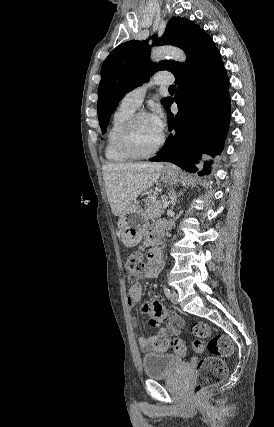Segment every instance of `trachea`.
Here are the masks:
<instances>
[{"instance_id":"obj_1","label":"trachea","mask_w":274,"mask_h":427,"mask_svg":"<svg viewBox=\"0 0 274 427\" xmlns=\"http://www.w3.org/2000/svg\"><path fill=\"white\" fill-rule=\"evenodd\" d=\"M169 90H176V85H171V86L169 87Z\"/></svg>"}]
</instances>
